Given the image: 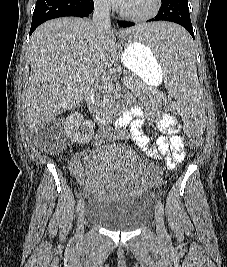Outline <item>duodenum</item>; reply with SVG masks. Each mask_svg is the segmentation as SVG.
I'll use <instances>...</instances> for the list:
<instances>
[{"mask_svg":"<svg viewBox=\"0 0 227 267\" xmlns=\"http://www.w3.org/2000/svg\"><path fill=\"white\" fill-rule=\"evenodd\" d=\"M85 103L88 111L99 122H107L112 118L107 111L98 107L96 103V93L94 90L88 91V93L85 96Z\"/></svg>","mask_w":227,"mask_h":267,"instance_id":"1","label":"duodenum"}]
</instances>
